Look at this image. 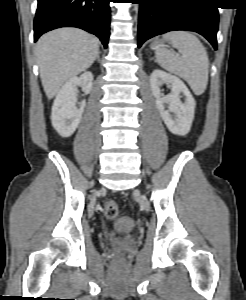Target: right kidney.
<instances>
[{
	"instance_id": "right-kidney-1",
	"label": "right kidney",
	"mask_w": 246,
	"mask_h": 300,
	"mask_svg": "<svg viewBox=\"0 0 246 300\" xmlns=\"http://www.w3.org/2000/svg\"><path fill=\"white\" fill-rule=\"evenodd\" d=\"M78 86L82 87L86 95L89 94L92 91L93 74L84 72L79 77L70 78L61 87L54 100L51 123L62 137H70L75 132L86 106L85 101H82L80 107H76Z\"/></svg>"
}]
</instances>
